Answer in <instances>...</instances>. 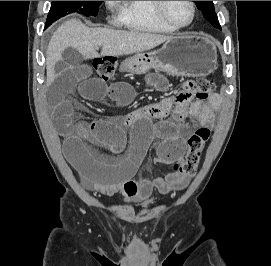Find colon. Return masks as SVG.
I'll return each instance as SVG.
<instances>
[{
  "mask_svg": "<svg viewBox=\"0 0 271 266\" xmlns=\"http://www.w3.org/2000/svg\"><path fill=\"white\" fill-rule=\"evenodd\" d=\"M93 68L99 77L108 80L115 74V60L112 58H96L93 61ZM214 93V83L211 79L200 78L187 80L177 94L178 99L196 98L207 100ZM211 128L204 126L195 130L187 141V152L184 158L174 164V170L184 178H191L195 175L201 154L210 138Z\"/></svg>",
  "mask_w": 271,
  "mask_h": 266,
  "instance_id": "obj_1",
  "label": "colon"
}]
</instances>
